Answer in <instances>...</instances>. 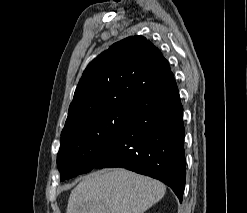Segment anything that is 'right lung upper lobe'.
Instances as JSON below:
<instances>
[{"label": "right lung upper lobe", "instance_id": "1", "mask_svg": "<svg viewBox=\"0 0 247 213\" xmlns=\"http://www.w3.org/2000/svg\"><path fill=\"white\" fill-rule=\"evenodd\" d=\"M173 77L168 61L145 37H128L113 44L83 72L61 134Z\"/></svg>", "mask_w": 247, "mask_h": 213}]
</instances>
